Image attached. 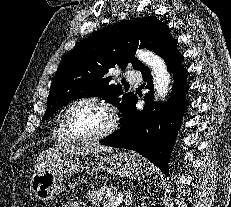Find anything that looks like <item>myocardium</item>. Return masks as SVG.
Returning <instances> with one entry per match:
<instances>
[{"label": "myocardium", "instance_id": "f54148a6", "mask_svg": "<svg viewBox=\"0 0 231 207\" xmlns=\"http://www.w3.org/2000/svg\"><path fill=\"white\" fill-rule=\"evenodd\" d=\"M81 103L97 104L107 112L109 117V124L103 131L92 136H79L72 130L69 122V114L74 107H76ZM62 124L66 135L72 141L81 142V143H90V142L100 141L113 134L118 128L119 117L115 107L109 101L99 96L89 95V96L80 97L68 105V107L65 109V111L62 114Z\"/></svg>", "mask_w": 231, "mask_h": 207}]
</instances>
